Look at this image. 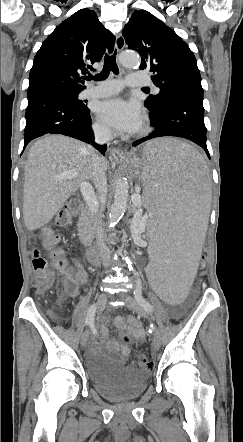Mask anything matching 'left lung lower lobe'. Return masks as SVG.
<instances>
[{
  "mask_svg": "<svg viewBox=\"0 0 243 442\" xmlns=\"http://www.w3.org/2000/svg\"><path fill=\"white\" fill-rule=\"evenodd\" d=\"M150 123L155 130L135 141L133 146L157 137L176 136L198 144L210 158L206 146L202 88L185 86L172 91L166 97L162 109L150 115Z\"/></svg>",
  "mask_w": 243,
  "mask_h": 442,
  "instance_id": "0a47b994",
  "label": "left lung lower lobe"
}]
</instances>
